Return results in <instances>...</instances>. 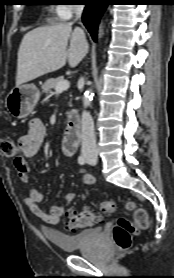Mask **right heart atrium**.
Instances as JSON below:
<instances>
[{
	"label": "right heart atrium",
	"instance_id": "d8ad5b80",
	"mask_svg": "<svg viewBox=\"0 0 174 278\" xmlns=\"http://www.w3.org/2000/svg\"><path fill=\"white\" fill-rule=\"evenodd\" d=\"M79 8L77 4H60L56 7V14L60 20H68Z\"/></svg>",
	"mask_w": 174,
	"mask_h": 278
}]
</instances>
